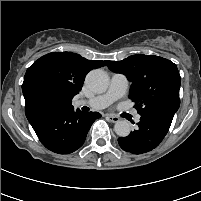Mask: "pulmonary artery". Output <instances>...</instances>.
Segmentation results:
<instances>
[{
	"mask_svg": "<svg viewBox=\"0 0 201 201\" xmlns=\"http://www.w3.org/2000/svg\"><path fill=\"white\" fill-rule=\"evenodd\" d=\"M128 88V79L123 74H113L107 91L89 100H80L78 105H87L93 109H104L114 101L125 95ZM135 121H140V116L135 117Z\"/></svg>",
	"mask_w": 201,
	"mask_h": 201,
	"instance_id": "e3ab8cb5",
	"label": "pulmonary artery"
}]
</instances>
